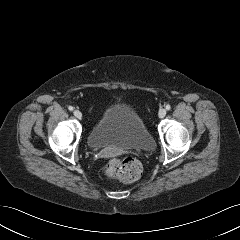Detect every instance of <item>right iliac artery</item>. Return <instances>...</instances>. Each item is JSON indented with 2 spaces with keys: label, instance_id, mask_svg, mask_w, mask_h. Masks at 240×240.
I'll list each match as a JSON object with an SVG mask.
<instances>
[{
  "label": "right iliac artery",
  "instance_id": "1",
  "mask_svg": "<svg viewBox=\"0 0 240 240\" xmlns=\"http://www.w3.org/2000/svg\"><path fill=\"white\" fill-rule=\"evenodd\" d=\"M68 109H69L70 111H73L74 108H73L72 106H69Z\"/></svg>",
  "mask_w": 240,
  "mask_h": 240
}]
</instances>
